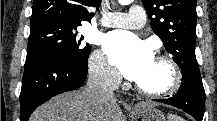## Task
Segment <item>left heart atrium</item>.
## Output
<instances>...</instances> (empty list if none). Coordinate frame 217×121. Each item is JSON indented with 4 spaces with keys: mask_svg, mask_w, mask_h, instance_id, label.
Here are the masks:
<instances>
[{
    "mask_svg": "<svg viewBox=\"0 0 217 121\" xmlns=\"http://www.w3.org/2000/svg\"><path fill=\"white\" fill-rule=\"evenodd\" d=\"M103 49L121 74L133 81H138L154 60L150 47L126 31L108 33Z\"/></svg>",
    "mask_w": 217,
    "mask_h": 121,
    "instance_id": "left-heart-atrium-1",
    "label": "left heart atrium"
}]
</instances>
